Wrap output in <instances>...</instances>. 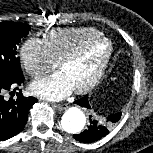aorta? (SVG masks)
<instances>
[{
  "mask_svg": "<svg viewBox=\"0 0 153 153\" xmlns=\"http://www.w3.org/2000/svg\"><path fill=\"white\" fill-rule=\"evenodd\" d=\"M86 124V116L78 107L68 108L62 116L61 125L64 131L72 134L80 133Z\"/></svg>",
  "mask_w": 153,
  "mask_h": 153,
  "instance_id": "762f6f07",
  "label": "aorta"
}]
</instances>
